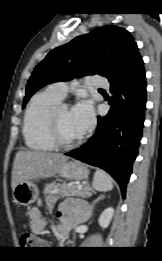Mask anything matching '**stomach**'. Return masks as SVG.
Wrapping results in <instances>:
<instances>
[{
	"label": "stomach",
	"instance_id": "1",
	"mask_svg": "<svg viewBox=\"0 0 162 261\" xmlns=\"http://www.w3.org/2000/svg\"><path fill=\"white\" fill-rule=\"evenodd\" d=\"M58 173L66 179L84 180L88 177L89 170L77 161H69L61 165ZM38 195L37 186L30 180L17 184L13 189L15 202L23 206L34 203Z\"/></svg>",
	"mask_w": 162,
	"mask_h": 261
}]
</instances>
